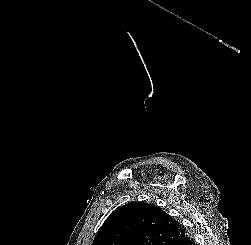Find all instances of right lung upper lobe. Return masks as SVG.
I'll use <instances>...</instances> for the list:
<instances>
[{
    "mask_svg": "<svg viewBox=\"0 0 251 245\" xmlns=\"http://www.w3.org/2000/svg\"><path fill=\"white\" fill-rule=\"evenodd\" d=\"M185 235L180 223L161 208L132 202L107 218L92 245H172Z\"/></svg>",
    "mask_w": 251,
    "mask_h": 245,
    "instance_id": "obj_1",
    "label": "right lung upper lobe"
}]
</instances>
